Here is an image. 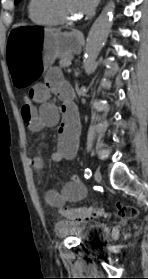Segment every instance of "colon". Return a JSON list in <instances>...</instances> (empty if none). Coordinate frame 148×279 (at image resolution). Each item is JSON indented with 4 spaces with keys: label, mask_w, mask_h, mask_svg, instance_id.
<instances>
[{
    "label": "colon",
    "mask_w": 148,
    "mask_h": 279,
    "mask_svg": "<svg viewBox=\"0 0 148 279\" xmlns=\"http://www.w3.org/2000/svg\"><path fill=\"white\" fill-rule=\"evenodd\" d=\"M24 104L29 106L32 102V96L30 92L25 93L23 97ZM62 215L75 220L80 219H92L98 217H105L106 213L103 209L96 207H75V208H66L62 210ZM118 214L122 219H134L138 216V210L129 205L120 204L118 206Z\"/></svg>",
    "instance_id": "5ec220e1"
}]
</instances>
